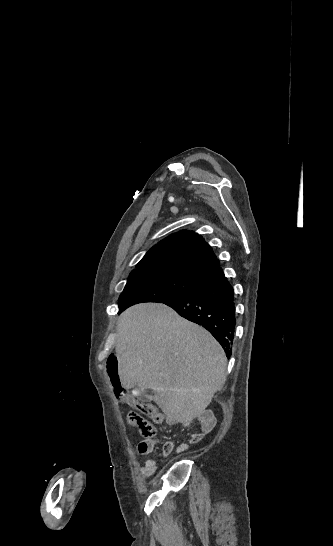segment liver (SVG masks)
Listing matches in <instances>:
<instances>
[{
	"mask_svg": "<svg viewBox=\"0 0 333 546\" xmlns=\"http://www.w3.org/2000/svg\"><path fill=\"white\" fill-rule=\"evenodd\" d=\"M118 375L125 389H151L170 419L189 424L225 384L227 358L204 328L161 303H143L117 321Z\"/></svg>",
	"mask_w": 333,
	"mask_h": 546,
	"instance_id": "obj_1",
	"label": "liver"
}]
</instances>
